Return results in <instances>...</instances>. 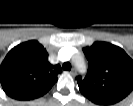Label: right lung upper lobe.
<instances>
[{"mask_svg":"<svg viewBox=\"0 0 133 106\" xmlns=\"http://www.w3.org/2000/svg\"><path fill=\"white\" fill-rule=\"evenodd\" d=\"M62 72L60 65L48 62V53L37 41L14 47L0 66V83L16 100H32L46 94Z\"/></svg>","mask_w":133,"mask_h":106,"instance_id":"cb5924a9","label":"right lung upper lobe"}]
</instances>
